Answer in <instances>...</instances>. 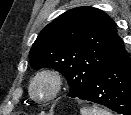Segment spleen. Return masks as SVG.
I'll return each mask as SVG.
<instances>
[{"label":"spleen","mask_w":131,"mask_h":115,"mask_svg":"<svg viewBox=\"0 0 131 115\" xmlns=\"http://www.w3.org/2000/svg\"><path fill=\"white\" fill-rule=\"evenodd\" d=\"M81 115H112L107 110L101 108H81L80 109Z\"/></svg>","instance_id":"3e777b00"}]
</instances>
